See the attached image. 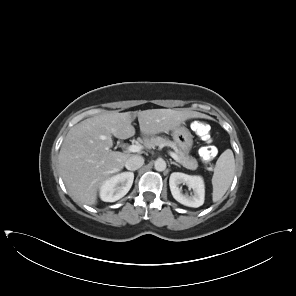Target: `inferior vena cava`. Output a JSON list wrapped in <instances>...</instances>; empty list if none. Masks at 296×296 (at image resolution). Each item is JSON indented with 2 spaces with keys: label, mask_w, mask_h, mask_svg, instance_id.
I'll return each instance as SVG.
<instances>
[{
  "label": "inferior vena cava",
  "mask_w": 296,
  "mask_h": 296,
  "mask_svg": "<svg viewBox=\"0 0 296 296\" xmlns=\"http://www.w3.org/2000/svg\"><path fill=\"white\" fill-rule=\"evenodd\" d=\"M144 164V158L140 155H133L125 162V167L128 170L135 171L142 167Z\"/></svg>",
  "instance_id": "inferior-vena-cava-1"
}]
</instances>
